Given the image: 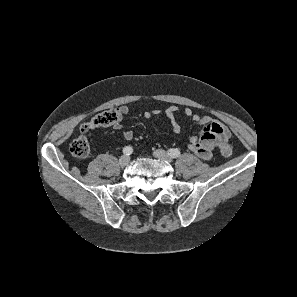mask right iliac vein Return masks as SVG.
Returning <instances> with one entry per match:
<instances>
[{
    "label": "right iliac vein",
    "instance_id": "obj_1",
    "mask_svg": "<svg viewBox=\"0 0 297 297\" xmlns=\"http://www.w3.org/2000/svg\"><path fill=\"white\" fill-rule=\"evenodd\" d=\"M129 162H130V158L128 156L124 155V156L120 157L118 164L120 167L123 168V167L127 166L129 164Z\"/></svg>",
    "mask_w": 297,
    "mask_h": 297
}]
</instances>
